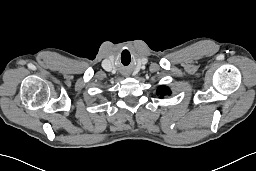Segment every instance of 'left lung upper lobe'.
<instances>
[{
    "mask_svg": "<svg viewBox=\"0 0 256 171\" xmlns=\"http://www.w3.org/2000/svg\"><path fill=\"white\" fill-rule=\"evenodd\" d=\"M164 93L165 94H170L171 91L166 86L159 87V89L157 90V94H164Z\"/></svg>",
    "mask_w": 256,
    "mask_h": 171,
    "instance_id": "1",
    "label": "left lung upper lobe"
}]
</instances>
